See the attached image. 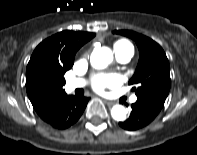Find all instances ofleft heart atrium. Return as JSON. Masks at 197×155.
Wrapping results in <instances>:
<instances>
[{"mask_svg": "<svg viewBox=\"0 0 197 155\" xmlns=\"http://www.w3.org/2000/svg\"><path fill=\"white\" fill-rule=\"evenodd\" d=\"M119 78L116 75H102L95 79L94 89L103 92L106 88H113L119 85Z\"/></svg>", "mask_w": 197, "mask_h": 155, "instance_id": "obj_1", "label": "left heart atrium"}]
</instances>
